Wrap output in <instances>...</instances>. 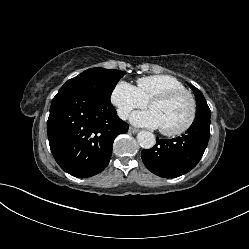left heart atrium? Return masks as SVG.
I'll return each instance as SVG.
<instances>
[{
  "mask_svg": "<svg viewBox=\"0 0 249 249\" xmlns=\"http://www.w3.org/2000/svg\"><path fill=\"white\" fill-rule=\"evenodd\" d=\"M131 121L139 126H147L152 128L160 127L159 119L152 110L134 113L131 117Z\"/></svg>",
  "mask_w": 249,
  "mask_h": 249,
  "instance_id": "1",
  "label": "left heart atrium"
}]
</instances>
